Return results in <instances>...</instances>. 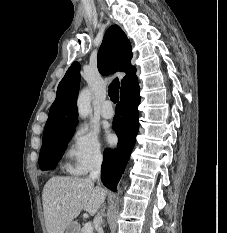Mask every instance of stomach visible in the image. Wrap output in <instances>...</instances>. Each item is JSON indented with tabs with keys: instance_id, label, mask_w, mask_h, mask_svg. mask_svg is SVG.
Segmentation results:
<instances>
[{
	"instance_id": "0dacf381",
	"label": "stomach",
	"mask_w": 227,
	"mask_h": 233,
	"mask_svg": "<svg viewBox=\"0 0 227 233\" xmlns=\"http://www.w3.org/2000/svg\"><path fill=\"white\" fill-rule=\"evenodd\" d=\"M65 233H79V226L76 222H71L66 228Z\"/></svg>"
}]
</instances>
